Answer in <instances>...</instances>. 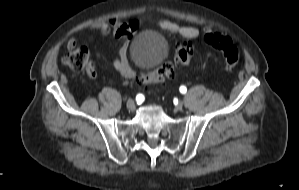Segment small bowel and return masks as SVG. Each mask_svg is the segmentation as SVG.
<instances>
[{
    "label": "small bowel",
    "instance_id": "obj_1",
    "mask_svg": "<svg viewBox=\"0 0 299 190\" xmlns=\"http://www.w3.org/2000/svg\"><path fill=\"white\" fill-rule=\"evenodd\" d=\"M139 25L138 19H133L128 22L121 21L117 18H110L107 21L101 22L97 25L96 29L102 36H110L122 40L124 43L118 49V55L115 58L113 65L117 72L125 78H132L135 74L134 69L128 58V43L132 40L134 32ZM157 25L171 33L178 34L187 39H194L199 36L200 31L193 25H181L176 21L159 20ZM76 45L74 40H69L67 43L68 48ZM87 74L91 79L96 77L95 67L92 62L87 66Z\"/></svg>",
    "mask_w": 299,
    "mask_h": 190
}]
</instances>
